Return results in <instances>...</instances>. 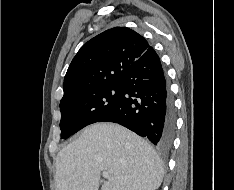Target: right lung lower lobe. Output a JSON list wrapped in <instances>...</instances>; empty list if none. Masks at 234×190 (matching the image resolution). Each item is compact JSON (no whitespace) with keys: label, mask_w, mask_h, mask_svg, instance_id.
Returning <instances> with one entry per match:
<instances>
[{"label":"right lung lower lobe","mask_w":234,"mask_h":190,"mask_svg":"<svg viewBox=\"0 0 234 190\" xmlns=\"http://www.w3.org/2000/svg\"><path fill=\"white\" fill-rule=\"evenodd\" d=\"M118 84L121 92L116 104L98 122L118 123L168 149L175 132V113L155 50L150 47L132 63Z\"/></svg>","instance_id":"obj_1"}]
</instances>
